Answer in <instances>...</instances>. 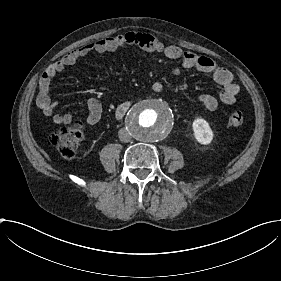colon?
Segmentation results:
<instances>
[{
  "label": "colon",
  "mask_w": 281,
  "mask_h": 281,
  "mask_svg": "<svg viewBox=\"0 0 281 281\" xmlns=\"http://www.w3.org/2000/svg\"><path fill=\"white\" fill-rule=\"evenodd\" d=\"M229 120L233 126H241L244 122V113L241 110H233ZM84 130L85 123L78 120L73 126L63 127L55 132L51 142L64 158L72 159L77 154Z\"/></svg>",
  "instance_id": "1"
}]
</instances>
